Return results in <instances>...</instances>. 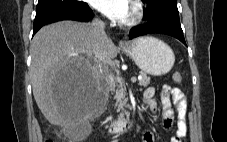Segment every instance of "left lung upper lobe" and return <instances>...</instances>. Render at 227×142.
<instances>
[{
	"instance_id": "5c2ea615",
	"label": "left lung upper lobe",
	"mask_w": 227,
	"mask_h": 142,
	"mask_svg": "<svg viewBox=\"0 0 227 142\" xmlns=\"http://www.w3.org/2000/svg\"><path fill=\"white\" fill-rule=\"evenodd\" d=\"M148 8L144 10V18H150L157 14L169 15L179 18L177 0H142Z\"/></svg>"
}]
</instances>
